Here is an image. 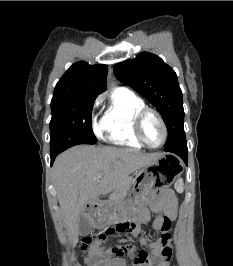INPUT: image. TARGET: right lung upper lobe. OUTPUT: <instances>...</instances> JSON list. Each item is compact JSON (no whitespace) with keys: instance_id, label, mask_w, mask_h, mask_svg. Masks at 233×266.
Segmentation results:
<instances>
[{"instance_id":"1","label":"right lung upper lobe","mask_w":233,"mask_h":266,"mask_svg":"<svg viewBox=\"0 0 233 266\" xmlns=\"http://www.w3.org/2000/svg\"><path fill=\"white\" fill-rule=\"evenodd\" d=\"M106 65H89L84 61L73 64L56 84L53 98L97 96L106 90Z\"/></svg>"}]
</instances>
